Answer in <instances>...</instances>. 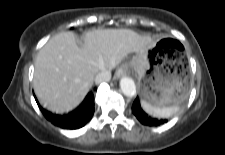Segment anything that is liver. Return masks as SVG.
Instances as JSON below:
<instances>
[{"label": "liver", "instance_id": "liver-1", "mask_svg": "<svg viewBox=\"0 0 225 155\" xmlns=\"http://www.w3.org/2000/svg\"><path fill=\"white\" fill-rule=\"evenodd\" d=\"M156 44L149 35L130 29H97L84 36L79 47L72 32L52 37L39 51L33 87L48 110L68 112L77 107L102 70L118 66L130 53L145 56Z\"/></svg>", "mask_w": 225, "mask_h": 155}]
</instances>
